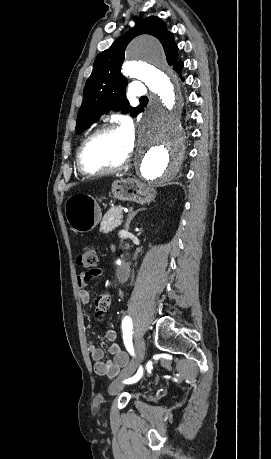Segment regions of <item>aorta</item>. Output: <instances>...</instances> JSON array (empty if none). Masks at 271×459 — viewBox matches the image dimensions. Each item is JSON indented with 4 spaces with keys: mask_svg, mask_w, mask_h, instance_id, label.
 I'll return each mask as SVG.
<instances>
[{
    "mask_svg": "<svg viewBox=\"0 0 271 459\" xmlns=\"http://www.w3.org/2000/svg\"><path fill=\"white\" fill-rule=\"evenodd\" d=\"M126 55L129 61L122 68L123 74L141 79L152 92L141 122L135 165L143 180L166 181L179 172L185 156L178 81L155 38H135L128 45ZM129 267L123 247L109 272L115 284L122 281Z\"/></svg>",
    "mask_w": 271,
    "mask_h": 459,
    "instance_id": "762f6f07",
    "label": "aorta"
}]
</instances>
